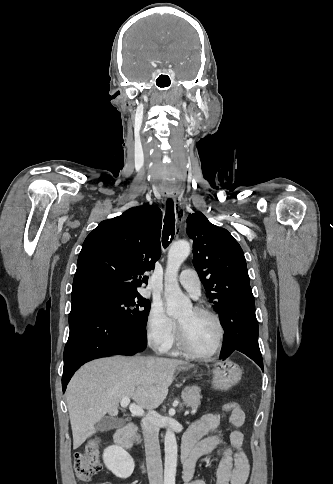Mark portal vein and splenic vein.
I'll list each match as a JSON object with an SVG mask.
<instances>
[{"label": "portal vein and splenic vein", "mask_w": 333, "mask_h": 484, "mask_svg": "<svg viewBox=\"0 0 333 484\" xmlns=\"http://www.w3.org/2000/svg\"><path fill=\"white\" fill-rule=\"evenodd\" d=\"M120 405H121V407H128L129 406V410L132 413V415L142 416L144 414L143 408L137 406L136 404H130V398L129 397L123 398L120 402ZM191 413H195V410L191 411Z\"/></svg>", "instance_id": "1"}]
</instances>
